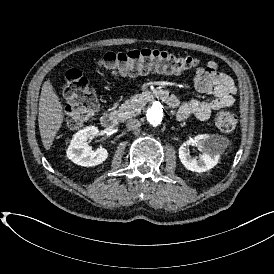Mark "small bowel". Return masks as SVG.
<instances>
[{
  "mask_svg": "<svg viewBox=\"0 0 274 274\" xmlns=\"http://www.w3.org/2000/svg\"><path fill=\"white\" fill-rule=\"evenodd\" d=\"M193 86L201 94L213 95L210 101L190 100L184 102L177 110V118L187 121L195 118L207 121L213 112L229 108L235 102L237 88L233 79L218 70L215 61H208L205 66L194 70Z\"/></svg>",
  "mask_w": 274,
  "mask_h": 274,
  "instance_id": "c3829d8e",
  "label": "small bowel"
}]
</instances>
